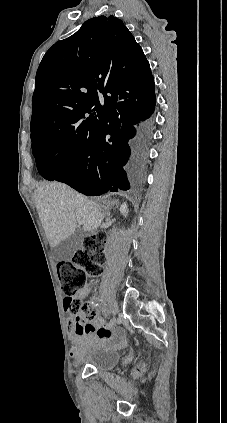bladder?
Listing matches in <instances>:
<instances>
[{
  "label": "bladder",
  "instance_id": "1",
  "mask_svg": "<svg viewBox=\"0 0 227 423\" xmlns=\"http://www.w3.org/2000/svg\"><path fill=\"white\" fill-rule=\"evenodd\" d=\"M121 361V355L116 350L99 351L83 360L86 366L100 372H112Z\"/></svg>",
  "mask_w": 227,
  "mask_h": 423
}]
</instances>
